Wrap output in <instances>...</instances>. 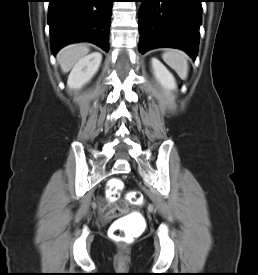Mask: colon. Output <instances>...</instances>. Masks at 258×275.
I'll list each match as a JSON object with an SVG mask.
<instances>
[{"mask_svg": "<svg viewBox=\"0 0 258 275\" xmlns=\"http://www.w3.org/2000/svg\"><path fill=\"white\" fill-rule=\"evenodd\" d=\"M123 188V183L119 178H112L108 183V197L109 200L114 201L117 199L120 191ZM127 199L132 204H141L143 202V195L139 191H131L127 195ZM114 210L112 208H106L103 214L106 218H112L114 216ZM109 235L111 238L119 241L130 242L133 239V233L126 228L120 220L113 223L109 229Z\"/></svg>", "mask_w": 258, "mask_h": 275, "instance_id": "obj_1", "label": "colon"}]
</instances>
